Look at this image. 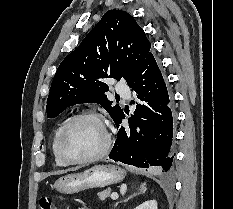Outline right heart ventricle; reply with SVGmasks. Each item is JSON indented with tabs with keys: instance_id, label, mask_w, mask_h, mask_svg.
<instances>
[{
	"instance_id": "e07e8e85",
	"label": "right heart ventricle",
	"mask_w": 233,
	"mask_h": 209,
	"mask_svg": "<svg viewBox=\"0 0 233 209\" xmlns=\"http://www.w3.org/2000/svg\"><path fill=\"white\" fill-rule=\"evenodd\" d=\"M64 124V121H62L58 127L56 128L55 132H54V135H53V138H52V143H51V150H52V154H53V158H54V161H55V164L57 166H60V167H63V166H66L67 163H65L64 161H62L57 153V140H58V136H59V133H60V130L62 128Z\"/></svg>"
}]
</instances>
